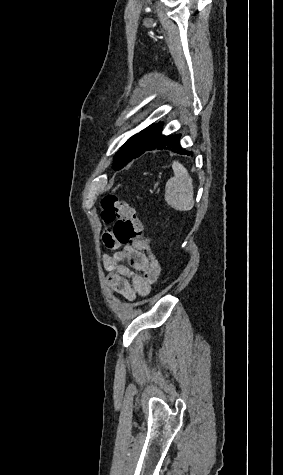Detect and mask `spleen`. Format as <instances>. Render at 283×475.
Instances as JSON below:
<instances>
[{
  "label": "spleen",
  "mask_w": 283,
  "mask_h": 475,
  "mask_svg": "<svg viewBox=\"0 0 283 475\" xmlns=\"http://www.w3.org/2000/svg\"><path fill=\"white\" fill-rule=\"evenodd\" d=\"M172 170L174 178H170L166 182L164 200L174 210L188 212L194 206L193 180L190 178L186 168L179 164V162H173Z\"/></svg>",
  "instance_id": "spleen-1"
}]
</instances>
